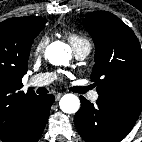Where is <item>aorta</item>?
<instances>
[{"instance_id":"obj_1","label":"aorta","mask_w":142,"mask_h":142,"mask_svg":"<svg viewBox=\"0 0 142 142\" xmlns=\"http://www.w3.org/2000/svg\"><path fill=\"white\" fill-rule=\"evenodd\" d=\"M45 56L53 65H66L71 59V48L65 43L55 42L47 47ZM59 106L64 113L73 114L79 110L80 100L74 94H65Z\"/></svg>"}]
</instances>
